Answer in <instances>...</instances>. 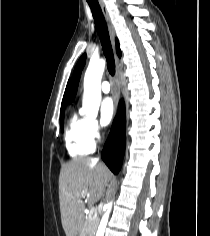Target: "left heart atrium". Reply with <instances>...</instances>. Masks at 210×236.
<instances>
[{
    "instance_id": "1",
    "label": "left heart atrium",
    "mask_w": 210,
    "mask_h": 236,
    "mask_svg": "<svg viewBox=\"0 0 210 236\" xmlns=\"http://www.w3.org/2000/svg\"><path fill=\"white\" fill-rule=\"evenodd\" d=\"M114 102L111 98H105L101 103L100 120L104 126L111 123L114 116Z\"/></svg>"
}]
</instances>
